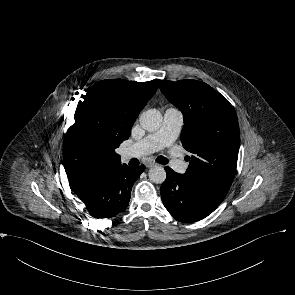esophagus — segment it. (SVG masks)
<instances>
[{"instance_id": "1", "label": "esophagus", "mask_w": 295, "mask_h": 295, "mask_svg": "<svg viewBox=\"0 0 295 295\" xmlns=\"http://www.w3.org/2000/svg\"><path fill=\"white\" fill-rule=\"evenodd\" d=\"M146 167L151 168L157 165V163L153 160H148L145 162Z\"/></svg>"}]
</instances>
